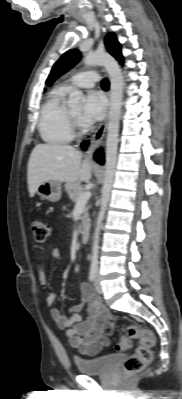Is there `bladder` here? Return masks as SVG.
<instances>
[{"instance_id":"1","label":"bladder","mask_w":182,"mask_h":399,"mask_svg":"<svg viewBox=\"0 0 182 399\" xmlns=\"http://www.w3.org/2000/svg\"><path fill=\"white\" fill-rule=\"evenodd\" d=\"M121 358V354H105L90 359L76 358L75 365L83 375H103Z\"/></svg>"}]
</instances>
